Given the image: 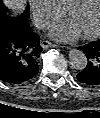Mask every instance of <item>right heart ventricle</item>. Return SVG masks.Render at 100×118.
Here are the masks:
<instances>
[{
  "instance_id": "e07e8e85",
  "label": "right heart ventricle",
  "mask_w": 100,
  "mask_h": 118,
  "mask_svg": "<svg viewBox=\"0 0 100 118\" xmlns=\"http://www.w3.org/2000/svg\"><path fill=\"white\" fill-rule=\"evenodd\" d=\"M72 0H54L60 9H65Z\"/></svg>"
}]
</instances>
